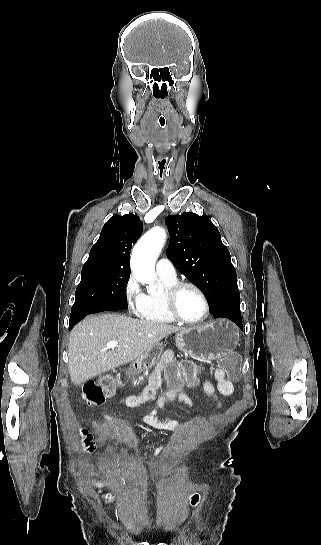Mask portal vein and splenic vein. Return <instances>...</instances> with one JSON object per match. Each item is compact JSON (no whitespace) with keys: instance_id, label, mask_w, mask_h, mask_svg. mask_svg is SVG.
Wrapping results in <instances>:
<instances>
[{"instance_id":"18ae733b","label":"portal vein and splenic vein","mask_w":321,"mask_h":545,"mask_svg":"<svg viewBox=\"0 0 321 545\" xmlns=\"http://www.w3.org/2000/svg\"><path fill=\"white\" fill-rule=\"evenodd\" d=\"M115 347H118L117 341H110V343H106V349H115Z\"/></svg>"}]
</instances>
